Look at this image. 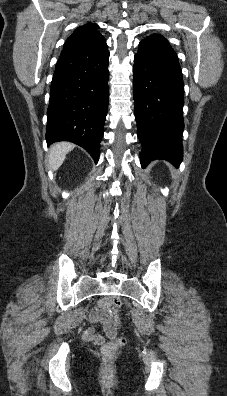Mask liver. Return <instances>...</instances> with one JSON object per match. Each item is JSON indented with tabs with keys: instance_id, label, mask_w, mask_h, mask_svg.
Instances as JSON below:
<instances>
[{
	"instance_id": "liver-1",
	"label": "liver",
	"mask_w": 227,
	"mask_h": 396,
	"mask_svg": "<svg viewBox=\"0 0 227 396\" xmlns=\"http://www.w3.org/2000/svg\"><path fill=\"white\" fill-rule=\"evenodd\" d=\"M74 144L69 142H59L51 146L49 164L50 168L57 170L64 162L66 154L74 149Z\"/></svg>"
}]
</instances>
